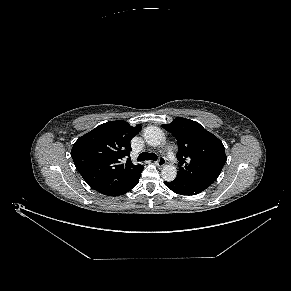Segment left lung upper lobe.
Masks as SVG:
<instances>
[{"mask_svg": "<svg viewBox=\"0 0 291 291\" xmlns=\"http://www.w3.org/2000/svg\"><path fill=\"white\" fill-rule=\"evenodd\" d=\"M163 128L178 142L180 166L177 177L190 181H215L218 178L227 157L222 142L215 135L198 122L182 117L163 124Z\"/></svg>", "mask_w": 291, "mask_h": 291, "instance_id": "obj_1", "label": "left lung upper lobe"}]
</instances>
